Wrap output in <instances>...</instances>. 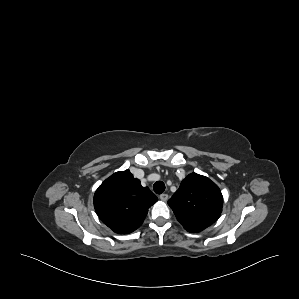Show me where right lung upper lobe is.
Here are the masks:
<instances>
[{
	"mask_svg": "<svg viewBox=\"0 0 299 299\" xmlns=\"http://www.w3.org/2000/svg\"><path fill=\"white\" fill-rule=\"evenodd\" d=\"M157 197L141 186L129 170L116 172L96 190L94 207L97 215L110 229L119 234L135 231L143 223L148 209Z\"/></svg>",
	"mask_w": 299,
	"mask_h": 299,
	"instance_id": "right-lung-upper-lobe-1",
	"label": "right lung upper lobe"
}]
</instances>
